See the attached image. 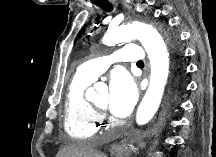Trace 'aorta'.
I'll return each mask as SVG.
<instances>
[{"label":"aorta","mask_w":216,"mask_h":157,"mask_svg":"<svg viewBox=\"0 0 216 157\" xmlns=\"http://www.w3.org/2000/svg\"><path fill=\"white\" fill-rule=\"evenodd\" d=\"M138 39L145 48L151 65L148 89L137 109L138 125L148 123L157 112L169 76V50L160 33L151 25L141 22L122 25L109 30L103 38V43L115 46L122 42ZM95 94V91H91ZM126 154L119 153L118 156Z\"/></svg>","instance_id":"obj_1"}]
</instances>
